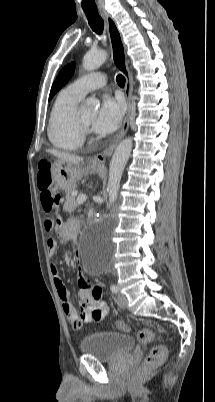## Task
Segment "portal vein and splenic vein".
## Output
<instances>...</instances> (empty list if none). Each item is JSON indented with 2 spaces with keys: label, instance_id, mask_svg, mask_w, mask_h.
I'll list each match as a JSON object with an SVG mask.
<instances>
[{
  "label": "portal vein and splenic vein",
  "instance_id": "obj_1",
  "mask_svg": "<svg viewBox=\"0 0 215 402\" xmlns=\"http://www.w3.org/2000/svg\"><path fill=\"white\" fill-rule=\"evenodd\" d=\"M73 194H76V192H74ZM86 199H87L86 195H84V194L79 195L77 197V203L82 204V203H84L86 201Z\"/></svg>",
  "mask_w": 215,
  "mask_h": 402
}]
</instances>
